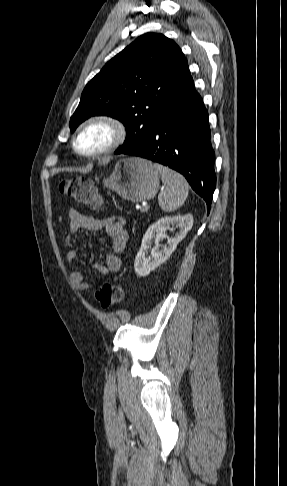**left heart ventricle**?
<instances>
[{
  "mask_svg": "<svg viewBox=\"0 0 287 486\" xmlns=\"http://www.w3.org/2000/svg\"><path fill=\"white\" fill-rule=\"evenodd\" d=\"M109 141V130L104 126H94L79 137L77 145L80 150L90 152L104 147Z\"/></svg>",
  "mask_w": 287,
  "mask_h": 486,
  "instance_id": "b2bd125f",
  "label": "left heart ventricle"
}]
</instances>
